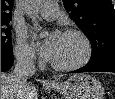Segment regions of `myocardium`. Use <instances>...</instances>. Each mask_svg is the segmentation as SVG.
Here are the masks:
<instances>
[{"label":"myocardium","instance_id":"myocardium-1","mask_svg":"<svg viewBox=\"0 0 115 99\" xmlns=\"http://www.w3.org/2000/svg\"><path fill=\"white\" fill-rule=\"evenodd\" d=\"M63 35L74 36V37L79 38L84 47L83 55L77 61L73 63H69V64H58V63L51 61V66L55 70H59V71L76 70V69H79L85 66L91 60L92 55H93V46L88 36L82 31L75 30V29L67 30L64 32Z\"/></svg>","mask_w":115,"mask_h":99}]
</instances>
